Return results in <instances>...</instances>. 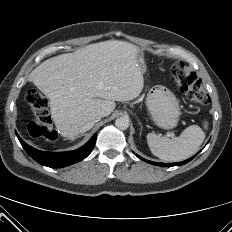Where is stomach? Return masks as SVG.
Here are the masks:
<instances>
[{"instance_id":"1","label":"stomach","mask_w":232,"mask_h":232,"mask_svg":"<svg viewBox=\"0 0 232 232\" xmlns=\"http://www.w3.org/2000/svg\"><path fill=\"white\" fill-rule=\"evenodd\" d=\"M146 106L152 121L158 127L172 129L177 126L181 114L179 102L166 87H153L147 94Z\"/></svg>"}]
</instances>
